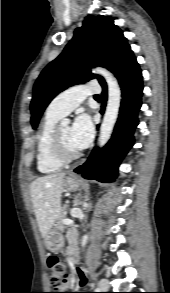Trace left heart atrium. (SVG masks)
Listing matches in <instances>:
<instances>
[{"label": "left heart atrium", "instance_id": "left-heart-atrium-1", "mask_svg": "<svg viewBox=\"0 0 170 293\" xmlns=\"http://www.w3.org/2000/svg\"><path fill=\"white\" fill-rule=\"evenodd\" d=\"M93 136V126L88 116H79L70 128V140L73 146L84 149L88 146Z\"/></svg>", "mask_w": 170, "mask_h": 293}]
</instances>
